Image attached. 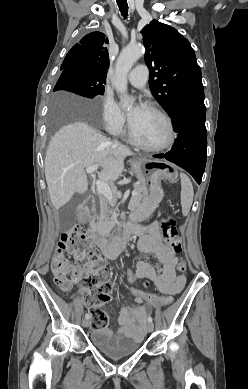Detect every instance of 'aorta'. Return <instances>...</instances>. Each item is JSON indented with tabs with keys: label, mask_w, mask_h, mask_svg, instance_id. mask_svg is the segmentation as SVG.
I'll return each mask as SVG.
<instances>
[{
	"label": "aorta",
	"mask_w": 248,
	"mask_h": 389,
	"mask_svg": "<svg viewBox=\"0 0 248 389\" xmlns=\"http://www.w3.org/2000/svg\"><path fill=\"white\" fill-rule=\"evenodd\" d=\"M143 48L141 45H129L125 47L116 60V73L113 80L115 90L123 97V107L130 109L134 100L126 98L127 92V75L134 63L142 56Z\"/></svg>",
	"instance_id": "1"
}]
</instances>
